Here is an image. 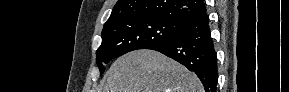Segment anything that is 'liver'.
<instances>
[{
  "instance_id": "1",
  "label": "liver",
  "mask_w": 289,
  "mask_h": 92,
  "mask_svg": "<svg viewBox=\"0 0 289 92\" xmlns=\"http://www.w3.org/2000/svg\"><path fill=\"white\" fill-rule=\"evenodd\" d=\"M101 92H204L197 75L149 49L119 57L106 73Z\"/></svg>"
}]
</instances>
